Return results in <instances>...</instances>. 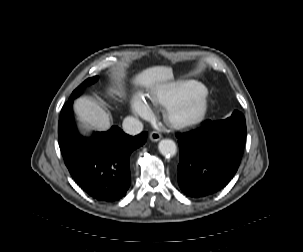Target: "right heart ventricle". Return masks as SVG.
I'll list each match as a JSON object with an SVG mask.
<instances>
[{"instance_id": "right-heart-ventricle-1", "label": "right heart ventricle", "mask_w": 303, "mask_h": 252, "mask_svg": "<svg viewBox=\"0 0 303 252\" xmlns=\"http://www.w3.org/2000/svg\"><path fill=\"white\" fill-rule=\"evenodd\" d=\"M186 97V91L182 87L171 86L163 91L160 100L168 105H173L184 101Z\"/></svg>"}]
</instances>
